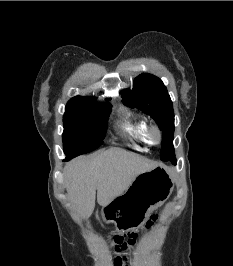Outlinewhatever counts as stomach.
Here are the masks:
<instances>
[{
    "label": "stomach",
    "instance_id": "stomach-1",
    "mask_svg": "<svg viewBox=\"0 0 233 266\" xmlns=\"http://www.w3.org/2000/svg\"><path fill=\"white\" fill-rule=\"evenodd\" d=\"M173 176H176L175 167L157 165L139 174L124 194L110 199L101 214H105L108 227L113 225L112 232H132V228H140L151 211L171 193Z\"/></svg>",
    "mask_w": 233,
    "mask_h": 266
}]
</instances>
